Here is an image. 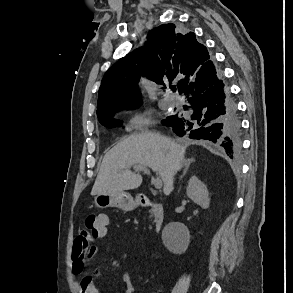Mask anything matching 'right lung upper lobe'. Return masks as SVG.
<instances>
[{
  "label": "right lung upper lobe",
  "instance_id": "cb5924a9",
  "mask_svg": "<svg viewBox=\"0 0 293 293\" xmlns=\"http://www.w3.org/2000/svg\"><path fill=\"white\" fill-rule=\"evenodd\" d=\"M209 60L206 47L197 42L194 33L183 35L174 24L160 25L150 31L144 47L121 58L106 72L99 89L97 116L139 103L141 75L164 87L165 82L177 81L181 92Z\"/></svg>",
  "mask_w": 293,
  "mask_h": 293
}]
</instances>
